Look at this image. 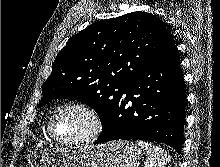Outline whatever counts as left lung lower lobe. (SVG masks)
I'll list each match as a JSON object with an SVG mask.
<instances>
[{
	"instance_id": "0a47b994",
	"label": "left lung lower lobe",
	"mask_w": 220,
	"mask_h": 167,
	"mask_svg": "<svg viewBox=\"0 0 220 167\" xmlns=\"http://www.w3.org/2000/svg\"><path fill=\"white\" fill-rule=\"evenodd\" d=\"M179 63L175 49L131 78L94 144L140 139L166 143L180 153L186 113Z\"/></svg>"
}]
</instances>
